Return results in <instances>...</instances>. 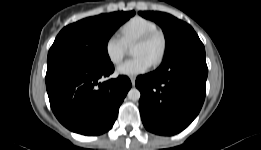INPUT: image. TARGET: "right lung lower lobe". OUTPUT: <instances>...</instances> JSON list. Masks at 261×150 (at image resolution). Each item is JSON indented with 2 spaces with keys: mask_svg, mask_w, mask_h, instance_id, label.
Masks as SVG:
<instances>
[{
  "mask_svg": "<svg viewBox=\"0 0 261 150\" xmlns=\"http://www.w3.org/2000/svg\"><path fill=\"white\" fill-rule=\"evenodd\" d=\"M113 71L112 63L101 66L70 62L47 65L46 88L50 105L66 128L94 136L113 126L119 107L131 88L126 76L99 82Z\"/></svg>",
  "mask_w": 261,
  "mask_h": 150,
  "instance_id": "right-lung-lower-lobe-1",
  "label": "right lung lower lobe"
}]
</instances>
